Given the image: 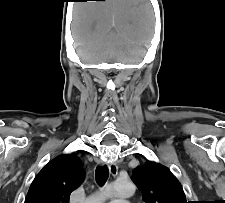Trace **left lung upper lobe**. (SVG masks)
I'll use <instances>...</instances> for the list:
<instances>
[{"mask_svg":"<svg viewBox=\"0 0 225 203\" xmlns=\"http://www.w3.org/2000/svg\"><path fill=\"white\" fill-rule=\"evenodd\" d=\"M132 179L145 203H189L177 178L161 164L147 161L134 169Z\"/></svg>","mask_w":225,"mask_h":203,"instance_id":"left-lung-upper-lobe-1","label":"left lung upper lobe"}]
</instances>
